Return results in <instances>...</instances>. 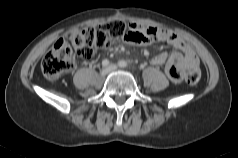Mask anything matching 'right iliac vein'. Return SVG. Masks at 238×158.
<instances>
[{
	"label": "right iliac vein",
	"instance_id": "1",
	"mask_svg": "<svg viewBox=\"0 0 238 158\" xmlns=\"http://www.w3.org/2000/svg\"><path fill=\"white\" fill-rule=\"evenodd\" d=\"M108 69L107 68H103L101 71H100V75L102 76V77H104V76H106L107 74H108Z\"/></svg>",
	"mask_w": 238,
	"mask_h": 158
}]
</instances>
